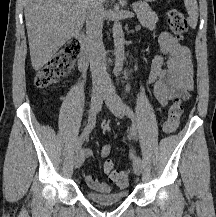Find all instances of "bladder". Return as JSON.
Returning <instances> with one entry per match:
<instances>
[{
  "label": "bladder",
  "mask_w": 216,
  "mask_h": 217,
  "mask_svg": "<svg viewBox=\"0 0 216 217\" xmlns=\"http://www.w3.org/2000/svg\"><path fill=\"white\" fill-rule=\"evenodd\" d=\"M86 197L96 204L113 205L126 200L128 197V191L124 189L107 193H97L91 190H87Z\"/></svg>",
  "instance_id": "obj_1"
}]
</instances>
